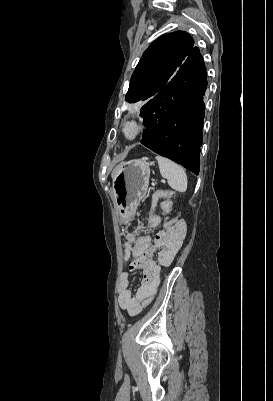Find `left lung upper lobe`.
I'll use <instances>...</instances> for the list:
<instances>
[{
    "label": "left lung upper lobe",
    "mask_w": 273,
    "mask_h": 401,
    "mask_svg": "<svg viewBox=\"0 0 273 401\" xmlns=\"http://www.w3.org/2000/svg\"><path fill=\"white\" fill-rule=\"evenodd\" d=\"M193 47V39L184 31L164 34L151 43L132 74L125 100L135 103L152 99L171 80Z\"/></svg>",
    "instance_id": "5c2ea615"
}]
</instances>
